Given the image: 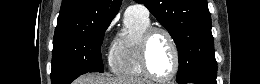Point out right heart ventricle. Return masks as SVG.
I'll list each match as a JSON object with an SVG mask.
<instances>
[{
  "instance_id": "right-heart-ventricle-1",
  "label": "right heart ventricle",
  "mask_w": 260,
  "mask_h": 84,
  "mask_svg": "<svg viewBox=\"0 0 260 84\" xmlns=\"http://www.w3.org/2000/svg\"><path fill=\"white\" fill-rule=\"evenodd\" d=\"M150 26L149 17L134 11L125 13L124 29L110 56V67L115 74L126 78H140L145 75L140 62V39Z\"/></svg>"
}]
</instances>
